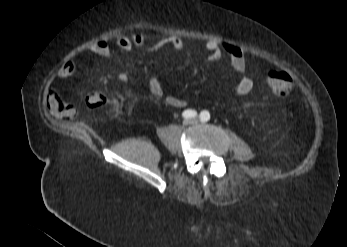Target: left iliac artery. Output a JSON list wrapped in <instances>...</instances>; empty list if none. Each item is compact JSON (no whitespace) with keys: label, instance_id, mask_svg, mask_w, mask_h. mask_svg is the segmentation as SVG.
I'll return each instance as SVG.
<instances>
[{"label":"left iliac artery","instance_id":"44dca946","mask_svg":"<svg viewBox=\"0 0 347 247\" xmlns=\"http://www.w3.org/2000/svg\"><path fill=\"white\" fill-rule=\"evenodd\" d=\"M200 120L202 122H207L210 120V113L208 111H202L200 114Z\"/></svg>","mask_w":347,"mask_h":247}]
</instances>
